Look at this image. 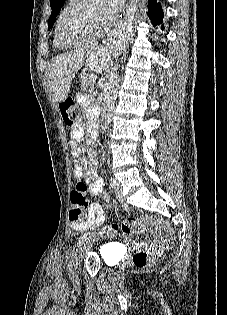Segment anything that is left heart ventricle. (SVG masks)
Segmentation results:
<instances>
[{
    "mask_svg": "<svg viewBox=\"0 0 227 315\" xmlns=\"http://www.w3.org/2000/svg\"><path fill=\"white\" fill-rule=\"evenodd\" d=\"M106 25L98 0H90L63 28V35L72 41L99 31Z\"/></svg>",
    "mask_w": 227,
    "mask_h": 315,
    "instance_id": "1",
    "label": "left heart ventricle"
}]
</instances>
